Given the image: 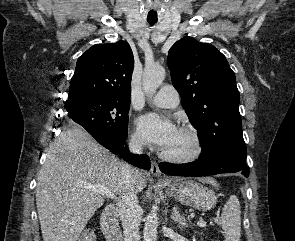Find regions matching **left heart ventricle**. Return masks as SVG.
Masks as SVG:
<instances>
[{
  "label": "left heart ventricle",
  "instance_id": "b2bd125f",
  "mask_svg": "<svg viewBox=\"0 0 295 241\" xmlns=\"http://www.w3.org/2000/svg\"><path fill=\"white\" fill-rule=\"evenodd\" d=\"M192 149V140L186 133L178 131L174 141L164 149L165 152L175 155H182L190 152Z\"/></svg>",
  "mask_w": 295,
  "mask_h": 241
}]
</instances>
